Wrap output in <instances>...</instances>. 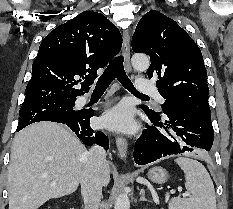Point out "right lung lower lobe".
<instances>
[{"mask_svg":"<svg viewBox=\"0 0 233 209\" xmlns=\"http://www.w3.org/2000/svg\"><path fill=\"white\" fill-rule=\"evenodd\" d=\"M93 115V110L81 111V113L75 118L68 121H63L61 123L67 125L72 131H74L85 145L91 146L93 143H97L105 149H108V137L100 131L94 132V130L90 127V118ZM24 127L26 126H18L17 132Z\"/></svg>","mask_w":233,"mask_h":209,"instance_id":"obj_1","label":"right lung lower lobe"}]
</instances>
